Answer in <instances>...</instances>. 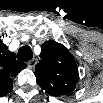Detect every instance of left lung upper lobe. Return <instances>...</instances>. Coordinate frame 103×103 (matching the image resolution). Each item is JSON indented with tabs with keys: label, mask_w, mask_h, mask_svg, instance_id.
Returning <instances> with one entry per match:
<instances>
[{
	"label": "left lung upper lobe",
	"mask_w": 103,
	"mask_h": 103,
	"mask_svg": "<svg viewBox=\"0 0 103 103\" xmlns=\"http://www.w3.org/2000/svg\"><path fill=\"white\" fill-rule=\"evenodd\" d=\"M40 57L35 75L42 90L53 96L72 92L79 81V73L74 57L64 45L49 40L42 44Z\"/></svg>",
	"instance_id": "1"
}]
</instances>
